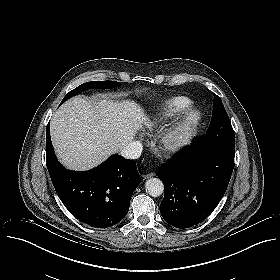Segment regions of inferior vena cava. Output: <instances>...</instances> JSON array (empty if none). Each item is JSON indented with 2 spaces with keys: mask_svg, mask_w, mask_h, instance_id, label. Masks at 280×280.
Instances as JSON below:
<instances>
[{
  "mask_svg": "<svg viewBox=\"0 0 280 280\" xmlns=\"http://www.w3.org/2000/svg\"><path fill=\"white\" fill-rule=\"evenodd\" d=\"M143 146L139 141H131L121 149V155L128 159H137L140 157Z\"/></svg>",
  "mask_w": 280,
  "mask_h": 280,
  "instance_id": "obj_1",
  "label": "inferior vena cava"
}]
</instances>
